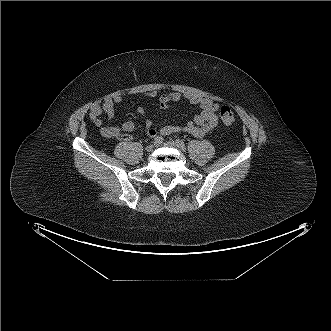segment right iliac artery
<instances>
[{"instance_id": "obj_1", "label": "right iliac artery", "mask_w": 331, "mask_h": 331, "mask_svg": "<svg viewBox=\"0 0 331 331\" xmlns=\"http://www.w3.org/2000/svg\"><path fill=\"white\" fill-rule=\"evenodd\" d=\"M163 137L162 136H157L156 138H154L153 139V141H152V143L154 144V145H159V144H161L162 142H163Z\"/></svg>"}]
</instances>
